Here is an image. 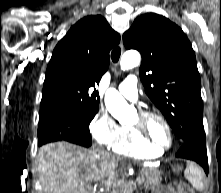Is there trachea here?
Listing matches in <instances>:
<instances>
[{"mask_svg":"<svg viewBox=\"0 0 221 193\" xmlns=\"http://www.w3.org/2000/svg\"><path fill=\"white\" fill-rule=\"evenodd\" d=\"M121 55V49L119 47L115 48L111 53V59L114 63H117Z\"/></svg>","mask_w":221,"mask_h":193,"instance_id":"1","label":"trachea"}]
</instances>
